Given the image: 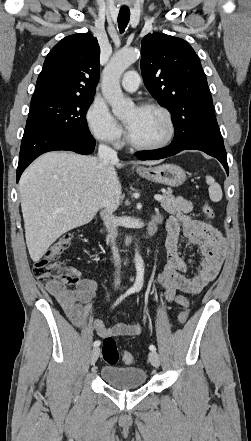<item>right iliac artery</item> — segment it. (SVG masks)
<instances>
[{"label":"right iliac artery","mask_w":251,"mask_h":441,"mask_svg":"<svg viewBox=\"0 0 251 441\" xmlns=\"http://www.w3.org/2000/svg\"><path fill=\"white\" fill-rule=\"evenodd\" d=\"M135 290L133 288H130L129 290H127L123 295H121L114 303L113 307L117 306L125 297H127L128 295L134 293ZM100 341L96 340L93 344L94 347H98L100 345Z\"/></svg>","instance_id":"82829eb1"}]
</instances>
